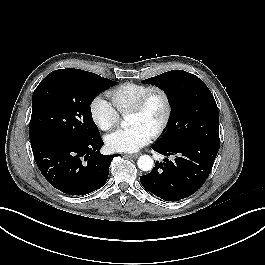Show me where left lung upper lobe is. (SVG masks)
<instances>
[{"label": "left lung upper lobe", "mask_w": 265, "mask_h": 265, "mask_svg": "<svg viewBox=\"0 0 265 265\" xmlns=\"http://www.w3.org/2000/svg\"><path fill=\"white\" fill-rule=\"evenodd\" d=\"M143 82L164 90L172 108L168 129L156 145L196 142L219 150L218 108L212 93L200 78L186 71L172 70Z\"/></svg>", "instance_id": "obj_1"}]
</instances>
